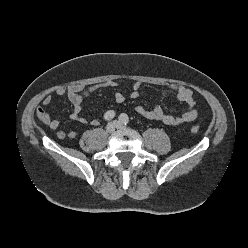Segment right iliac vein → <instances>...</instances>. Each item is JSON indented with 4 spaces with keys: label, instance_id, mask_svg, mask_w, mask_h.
Masks as SVG:
<instances>
[{
    "label": "right iliac vein",
    "instance_id": "63e3f726",
    "mask_svg": "<svg viewBox=\"0 0 248 248\" xmlns=\"http://www.w3.org/2000/svg\"><path fill=\"white\" fill-rule=\"evenodd\" d=\"M116 129V124L114 122L112 123H109L107 126H106V131L107 133H113Z\"/></svg>",
    "mask_w": 248,
    "mask_h": 248
}]
</instances>
